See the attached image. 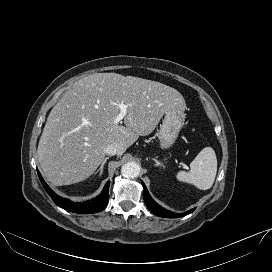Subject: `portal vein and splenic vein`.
<instances>
[{"label": "portal vein and splenic vein", "mask_w": 272, "mask_h": 272, "mask_svg": "<svg viewBox=\"0 0 272 272\" xmlns=\"http://www.w3.org/2000/svg\"><path fill=\"white\" fill-rule=\"evenodd\" d=\"M115 105L120 109V113L114 119V124H118L127 115L128 105L124 103H116ZM185 168L187 169L188 167L185 166Z\"/></svg>", "instance_id": "18ae733b"}]
</instances>
